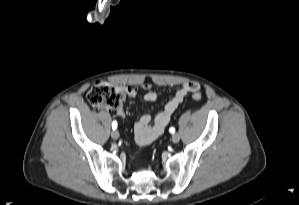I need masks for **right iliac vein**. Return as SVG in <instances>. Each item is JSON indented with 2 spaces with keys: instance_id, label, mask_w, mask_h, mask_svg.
<instances>
[{
  "instance_id": "1",
  "label": "right iliac vein",
  "mask_w": 299,
  "mask_h": 205,
  "mask_svg": "<svg viewBox=\"0 0 299 205\" xmlns=\"http://www.w3.org/2000/svg\"><path fill=\"white\" fill-rule=\"evenodd\" d=\"M111 136L114 140L118 139L119 138V132L114 130L111 132Z\"/></svg>"
}]
</instances>
